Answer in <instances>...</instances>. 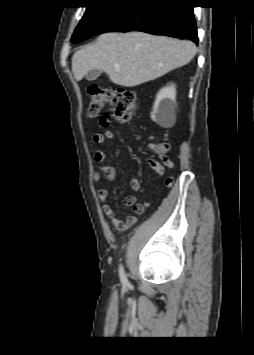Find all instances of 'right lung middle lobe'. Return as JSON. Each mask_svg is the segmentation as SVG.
Segmentation results:
<instances>
[{
	"instance_id": "1",
	"label": "right lung middle lobe",
	"mask_w": 254,
	"mask_h": 355,
	"mask_svg": "<svg viewBox=\"0 0 254 355\" xmlns=\"http://www.w3.org/2000/svg\"><path fill=\"white\" fill-rule=\"evenodd\" d=\"M121 4L122 3L113 0L91 3V5L87 7L80 23L76 27L72 40H84L94 35L109 15Z\"/></svg>"
}]
</instances>
